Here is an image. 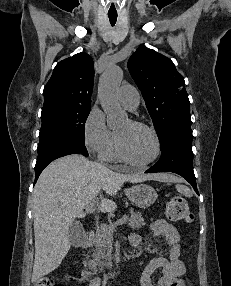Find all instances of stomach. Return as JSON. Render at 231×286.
<instances>
[{
    "label": "stomach",
    "instance_id": "stomach-1",
    "mask_svg": "<svg viewBox=\"0 0 231 286\" xmlns=\"http://www.w3.org/2000/svg\"><path fill=\"white\" fill-rule=\"evenodd\" d=\"M125 193L131 203L139 208L151 206L158 197L155 189L145 183L129 187L125 190Z\"/></svg>",
    "mask_w": 231,
    "mask_h": 286
}]
</instances>
